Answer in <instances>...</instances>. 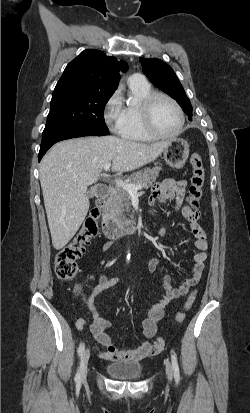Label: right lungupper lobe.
I'll list each match as a JSON object with an SVG mask.
<instances>
[{
  "label": "right lung upper lobe",
  "mask_w": 250,
  "mask_h": 413,
  "mask_svg": "<svg viewBox=\"0 0 250 413\" xmlns=\"http://www.w3.org/2000/svg\"><path fill=\"white\" fill-rule=\"evenodd\" d=\"M124 61H117L99 50H85L65 68L56 88L78 86L84 89L114 92L118 86V71H127Z\"/></svg>",
  "instance_id": "1"
}]
</instances>
